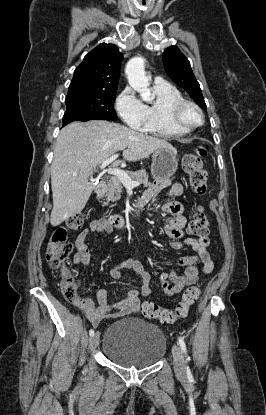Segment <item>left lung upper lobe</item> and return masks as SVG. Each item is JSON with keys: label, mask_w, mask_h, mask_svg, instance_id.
Instances as JSON below:
<instances>
[{"label": "left lung upper lobe", "mask_w": 266, "mask_h": 415, "mask_svg": "<svg viewBox=\"0 0 266 415\" xmlns=\"http://www.w3.org/2000/svg\"><path fill=\"white\" fill-rule=\"evenodd\" d=\"M162 58L167 75L177 85L184 88L202 109L207 110L200 85L193 74L190 62L179 48L177 46L168 47Z\"/></svg>", "instance_id": "1"}]
</instances>
